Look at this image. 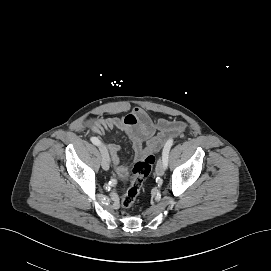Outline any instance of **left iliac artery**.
Segmentation results:
<instances>
[{"instance_id": "44dca946", "label": "left iliac artery", "mask_w": 271, "mask_h": 271, "mask_svg": "<svg viewBox=\"0 0 271 271\" xmlns=\"http://www.w3.org/2000/svg\"><path fill=\"white\" fill-rule=\"evenodd\" d=\"M173 142H174L173 139H169L163 148L162 159H163L165 167H167V165H168V155H169V151L173 145Z\"/></svg>"}]
</instances>
